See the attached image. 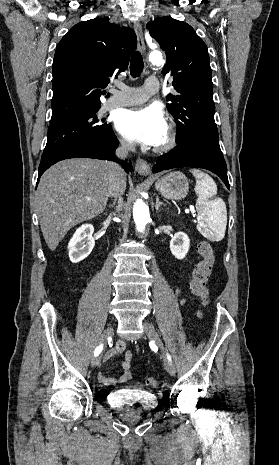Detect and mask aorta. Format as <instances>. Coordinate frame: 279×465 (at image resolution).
Instances as JSON below:
<instances>
[{"instance_id": "762f6f07", "label": "aorta", "mask_w": 279, "mask_h": 465, "mask_svg": "<svg viewBox=\"0 0 279 465\" xmlns=\"http://www.w3.org/2000/svg\"><path fill=\"white\" fill-rule=\"evenodd\" d=\"M152 63H162V55L159 52H154L150 56ZM133 218L139 232H143L147 223L150 220L149 207L142 201L137 200L133 206Z\"/></svg>"}]
</instances>
